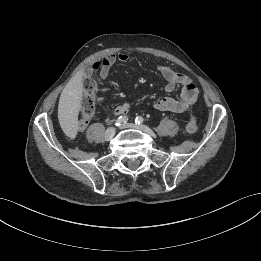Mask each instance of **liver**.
Here are the masks:
<instances>
[{
    "label": "liver",
    "mask_w": 261,
    "mask_h": 261,
    "mask_svg": "<svg viewBox=\"0 0 261 261\" xmlns=\"http://www.w3.org/2000/svg\"><path fill=\"white\" fill-rule=\"evenodd\" d=\"M82 92V77L81 75L76 74L69 80L60 95L58 119L62 128L66 130H77Z\"/></svg>",
    "instance_id": "obj_1"
}]
</instances>
